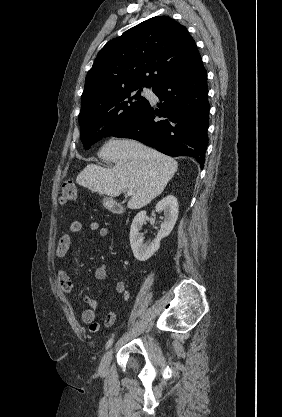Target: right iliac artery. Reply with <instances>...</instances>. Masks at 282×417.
Wrapping results in <instances>:
<instances>
[{
	"label": "right iliac artery",
	"instance_id": "right-iliac-artery-1",
	"mask_svg": "<svg viewBox=\"0 0 282 417\" xmlns=\"http://www.w3.org/2000/svg\"><path fill=\"white\" fill-rule=\"evenodd\" d=\"M112 344H113V338H111L107 341L105 349L107 350L108 348H110Z\"/></svg>",
	"mask_w": 282,
	"mask_h": 417
}]
</instances>
